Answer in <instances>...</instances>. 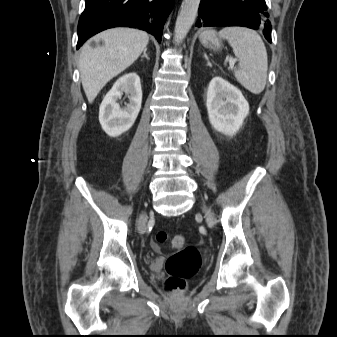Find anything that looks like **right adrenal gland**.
I'll return each instance as SVG.
<instances>
[{
  "mask_svg": "<svg viewBox=\"0 0 337 337\" xmlns=\"http://www.w3.org/2000/svg\"><path fill=\"white\" fill-rule=\"evenodd\" d=\"M146 51L147 49L144 50L142 57H145L147 60H149L150 58L148 57Z\"/></svg>",
  "mask_w": 337,
  "mask_h": 337,
  "instance_id": "right-adrenal-gland-1",
  "label": "right adrenal gland"
}]
</instances>
